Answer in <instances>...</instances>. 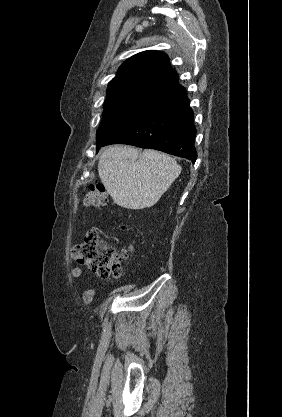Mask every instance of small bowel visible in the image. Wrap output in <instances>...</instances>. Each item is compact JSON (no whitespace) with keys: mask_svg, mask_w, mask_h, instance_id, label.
Returning a JSON list of instances; mask_svg holds the SVG:
<instances>
[{"mask_svg":"<svg viewBox=\"0 0 282 417\" xmlns=\"http://www.w3.org/2000/svg\"><path fill=\"white\" fill-rule=\"evenodd\" d=\"M70 275L72 278L78 279L84 276V270L80 267H74L70 271ZM96 289L95 288H88L83 292L82 301L85 305L91 304L96 296Z\"/></svg>","mask_w":282,"mask_h":417,"instance_id":"1","label":"small bowel"}]
</instances>
